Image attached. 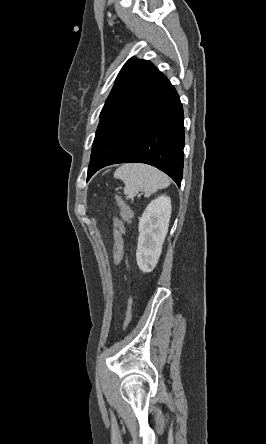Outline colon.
Wrapping results in <instances>:
<instances>
[{
  "instance_id": "obj_1",
  "label": "colon",
  "mask_w": 266,
  "mask_h": 444,
  "mask_svg": "<svg viewBox=\"0 0 266 444\" xmlns=\"http://www.w3.org/2000/svg\"><path fill=\"white\" fill-rule=\"evenodd\" d=\"M118 205L121 209L122 218L115 217L114 218V224H113V252H112V259L113 263L115 265H118L122 259L123 249H124V232H125V222L129 223L131 220V210L130 208L125 204L124 201H122L119 197L117 198ZM132 316V298L129 297L127 301V307L125 311V316L123 320V329L127 328V326L130 323Z\"/></svg>"
}]
</instances>
